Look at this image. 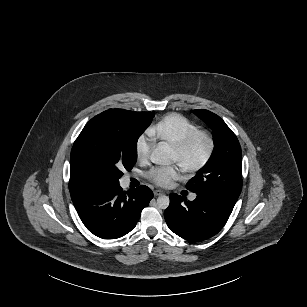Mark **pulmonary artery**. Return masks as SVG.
<instances>
[{"instance_id": "1", "label": "pulmonary artery", "mask_w": 307, "mask_h": 307, "mask_svg": "<svg viewBox=\"0 0 307 307\" xmlns=\"http://www.w3.org/2000/svg\"><path fill=\"white\" fill-rule=\"evenodd\" d=\"M196 197V195L195 194H193L192 196H191V199H194Z\"/></svg>"}]
</instances>
